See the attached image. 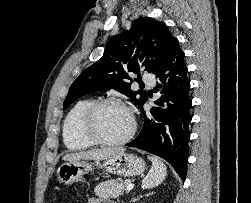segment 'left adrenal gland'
I'll return each mask as SVG.
<instances>
[{"label": "left adrenal gland", "instance_id": "1", "mask_svg": "<svg viewBox=\"0 0 251 203\" xmlns=\"http://www.w3.org/2000/svg\"><path fill=\"white\" fill-rule=\"evenodd\" d=\"M148 195H150V194H147L146 196H148ZM140 198H142V196L137 197V198H134L132 201H133V202H136V201L139 200Z\"/></svg>", "mask_w": 251, "mask_h": 203}]
</instances>
